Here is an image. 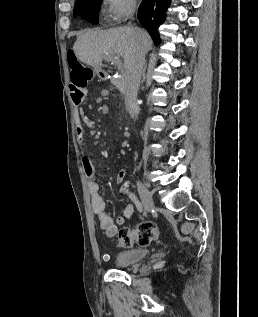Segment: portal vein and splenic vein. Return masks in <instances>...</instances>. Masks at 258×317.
I'll use <instances>...</instances> for the list:
<instances>
[{"instance_id":"18ae733b","label":"portal vein and splenic vein","mask_w":258,"mask_h":317,"mask_svg":"<svg viewBox=\"0 0 258 317\" xmlns=\"http://www.w3.org/2000/svg\"><path fill=\"white\" fill-rule=\"evenodd\" d=\"M107 58H109V60H112V62H115L116 58H118V56H107Z\"/></svg>"}]
</instances>
